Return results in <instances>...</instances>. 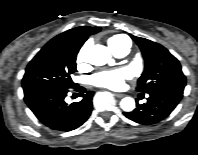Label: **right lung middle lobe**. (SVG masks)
Segmentation results:
<instances>
[{"label": "right lung middle lobe", "instance_id": "1", "mask_svg": "<svg viewBox=\"0 0 198 155\" xmlns=\"http://www.w3.org/2000/svg\"><path fill=\"white\" fill-rule=\"evenodd\" d=\"M81 46L77 42L47 43L28 64L22 79L23 89L40 86L72 88L71 74L76 70V56Z\"/></svg>", "mask_w": 198, "mask_h": 155}]
</instances>
